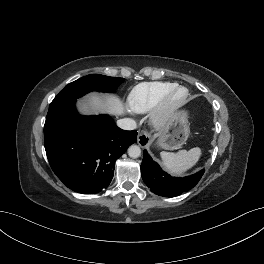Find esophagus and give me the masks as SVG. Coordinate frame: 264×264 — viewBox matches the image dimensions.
<instances>
[{"instance_id":"obj_1","label":"esophagus","mask_w":264,"mask_h":264,"mask_svg":"<svg viewBox=\"0 0 264 264\" xmlns=\"http://www.w3.org/2000/svg\"><path fill=\"white\" fill-rule=\"evenodd\" d=\"M137 143L141 147H147L150 144L147 134L143 131H140L137 137Z\"/></svg>"}]
</instances>
